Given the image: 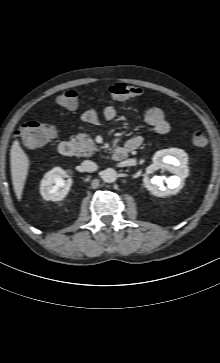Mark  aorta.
<instances>
[{
	"instance_id": "obj_1",
	"label": "aorta",
	"mask_w": 220,
	"mask_h": 363,
	"mask_svg": "<svg viewBox=\"0 0 220 363\" xmlns=\"http://www.w3.org/2000/svg\"><path fill=\"white\" fill-rule=\"evenodd\" d=\"M102 179L106 183H113L117 179V172L112 168H108L102 172Z\"/></svg>"
}]
</instances>
